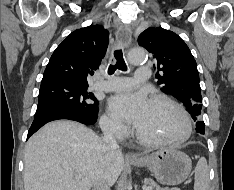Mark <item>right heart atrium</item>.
<instances>
[{
    "label": "right heart atrium",
    "mask_w": 234,
    "mask_h": 190,
    "mask_svg": "<svg viewBox=\"0 0 234 190\" xmlns=\"http://www.w3.org/2000/svg\"><path fill=\"white\" fill-rule=\"evenodd\" d=\"M102 129L110 134L122 137L127 133L126 126L118 119L110 115H104L101 119Z\"/></svg>",
    "instance_id": "right-heart-atrium-1"
}]
</instances>
